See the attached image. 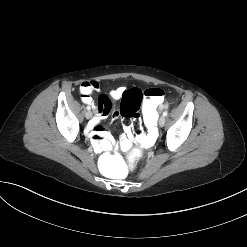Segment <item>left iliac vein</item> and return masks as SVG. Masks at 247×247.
Segmentation results:
<instances>
[{
	"label": "left iliac vein",
	"instance_id": "1",
	"mask_svg": "<svg viewBox=\"0 0 247 247\" xmlns=\"http://www.w3.org/2000/svg\"><path fill=\"white\" fill-rule=\"evenodd\" d=\"M158 124H159V126H164V124H165V117L164 116H161L160 118H159V121H158Z\"/></svg>",
	"mask_w": 247,
	"mask_h": 247
}]
</instances>
